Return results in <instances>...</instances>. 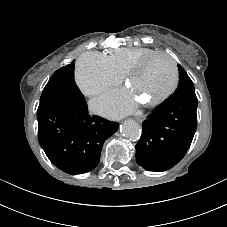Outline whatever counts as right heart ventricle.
I'll use <instances>...</instances> for the list:
<instances>
[{"label": "right heart ventricle", "instance_id": "1", "mask_svg": "<svg viewBox=\"0 0 227 227\" xmlns=\"http://www.w3.org/2000/svg\"><path fill=\"white\" fill-rule=\"evenodd\" d=\"M153 52L156 50L147 47H119L107 57L113 70L122 77L132 65Z\"/></svg>", "mask_w": 227, "mask_h": 227}]
</instances>
